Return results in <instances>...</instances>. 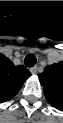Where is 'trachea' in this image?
Returning <instances> with one entry per match:
<instances>
[{
    "label": "trachea",
    "instance_id": "obj_1",
    "mask_svg": "<svg viewBox=\"0 0 63 123\" xmlns=\"http://www.w3.org/2000/svg\"><path fill=\"white\" fill-rule=\"evenodd\" d=\"M24 63L27 67H33L36 64V57L33 54H27Z\"/></svg>",
    "mask_w": 63,
    "mask_h": 123
}]
</instances>
